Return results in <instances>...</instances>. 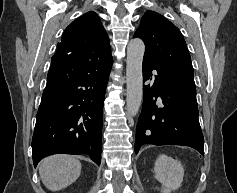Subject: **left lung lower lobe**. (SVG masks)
Wrapping results in <instances>:
<instances>
[{
	"mask_svg": "<svg viewBox=\"0 0 237 193\" xmlns=\"http://www.w3.org/2000/svg\"><path fill=\"white\" fill-rule=\"evenodd\" d=\"M144 102L136 127L135 153L144 144L182 145L204 155V138L198 120L194 79L179 76L143 60ZM159 98V99H158Z\"/></svg>",
	"mask_w": 237,
	"mask_h": 193,
	"instance_id": "left-lung-lower-lobe-1",
	"label": "left lung lower lobe"
}]
</instances>
